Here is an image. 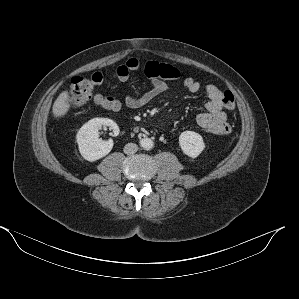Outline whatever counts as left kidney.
Returning <instances> with one entry per match:
<instances>
[{"instance_id":"obj_1","label":"left kidney","mask_w":299,"mask_h":299,"mask_svg":"<svg viewBox=\"0 0 299 299\" xmlns=\"http://www.w3.org/2000/svg\"><path fill=\"white\" fill-rule=\"evenodd\" d=\"M179 145L183 153L191 158L198 157L205 149L202 136L194 131L182 132L179 136Z\"/></svg>"}]
</instances>
